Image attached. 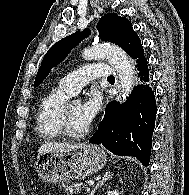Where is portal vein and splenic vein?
I'll use <instances>...</instances> for the list:
<instances>
[{"instance_id":"portal-vein-and-splenic-vein-1","label":"portal vein and splenic vein","mask_w":189,"mask_h":195,"mask_svg":"<svg viewBox=\"0 0 189 195\" xmlns=\"http://www.w3.org/2000/svg\"><path fill=\"white\" fill-rule=\"evenodd\" d=\"M94 184V181L93 180H90L89 182H88V185L89 186H91V185H93Z\"/></svg>"}]
</instances>
